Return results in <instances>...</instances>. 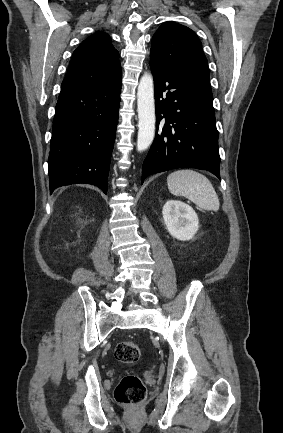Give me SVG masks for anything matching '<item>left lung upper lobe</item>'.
Instances as JSON below:
<instances>
[{"mask_svg":"<svg viewBox=\"0 0 283 433\" xmlns=\"http://www.w3.org/2000/svg\"><path fill=\"white\" fill-rule=\"evenodd\" d=\"M150 55L193 73L200 81L203 109L214 113L207 59L201 42L191 29L175 22L163 23L152 38Z\"/></svg>","mask_w":283,"mask_h":433,"instance_id":"left-lung-upper-lobe-1","label":"left lung upper lobe"}]
</instances>
